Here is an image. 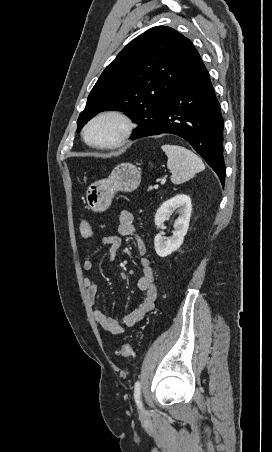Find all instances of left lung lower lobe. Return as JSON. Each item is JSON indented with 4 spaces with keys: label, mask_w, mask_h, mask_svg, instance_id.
Returning a JSON list of instances; mask_svg holds the SVG:
<instances>
[{
    "label": "left lung lower lobe",
    "mask_w": 272,
    "mask_h": 452,
    "mask_svg": "<svg viewBox=\"0 0 272 452\" xmlns=\"http://www.w3.org/2000/svg\"><path fill=\"white\" fill-rule=\"evenodd\" d=\"M223 117L209 73L197 52L175 85L161 116L132 139L173 133L187 140L225 182Z\"/></svg>",
    "instance_id": "left-lung-lower-lobe-1"
}]
</instances>
